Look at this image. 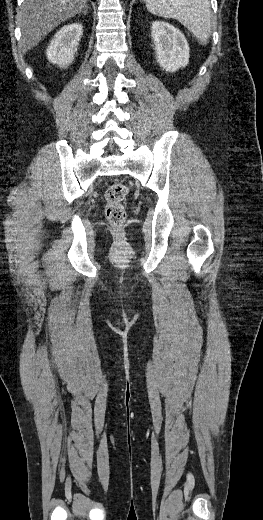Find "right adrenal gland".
<instances>
[{"label": "right adrenal gland", "instance_id": "obj_1", "mask_svg": "<svg viewBox=\"0 0 263 520\" xmlns=\"http://www.w3.org/2000/svg\"><path fill=\"white\" fill-rule=\"evenodd\" d=\"M87 10H88V7L86 8V10H85V11H83V14H84V15H86V13H87Z\"/></svg>", "mask_w": 263, "mask_h": 520}]
</instances>
